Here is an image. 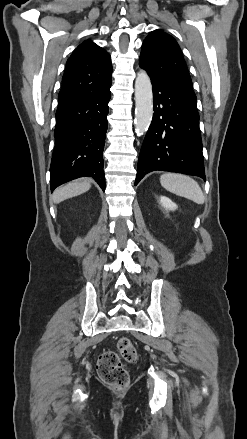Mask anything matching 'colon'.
I'll list each match as a JSON object with an SVG mask.
<instances>
[{
  "mask_svg": "<svg viewBox=\"0 0 247 439\" xmlns=\"http://www.w3.org/2000/svg\"><path fill=\"white\" fill-rule=\"evenodd\" d=\"M118 351H105L98 360V374L101 380L114 389L124 388L129 381L127 364L136 360V351L128 338H121Z\"/></svg>",
  "mask_w": 247,
  "mask_h": 439,
  "instance_id": "obj_1",
  "label": "colon"
}]
</instances>
